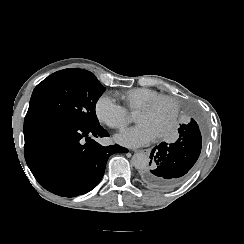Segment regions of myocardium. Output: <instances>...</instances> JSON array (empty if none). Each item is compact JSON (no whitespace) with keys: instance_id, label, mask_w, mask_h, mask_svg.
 <instances>
[{"instance_id":"f54148a6","label":"myocardium","mask_w":244,"mask_h":244,"mask_svg":"<svg viewBox=\"0 0 244 244\" xmlns=\"http://www.w3.org/2000/svg\"><path fill=\"white\" fill-rule=\"evenodd\" d=\"M157 102L159 103H163L164 105L167 103L169 105V118H168V125H167V130L161 135V137L165 136V134L167 133V131L169 130V128L171 127L173 121H174V117H175V113H176V104L174 103L173 100L169 99V98H163V97H153L152 99L148 101H145L142 106L138 107L135 109V113L138 111H143L146 112L148 111V108H150L152 105L156 104Z\"/></svg>"}]
</instances>
